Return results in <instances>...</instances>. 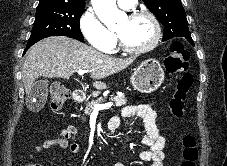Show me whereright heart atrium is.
<instances>
[{
    "instance_id": "obj_1",
    "label": "right heart atrium",
    "mask_w": 227,
    "mask_h": 166,
    "mask_svg": "<svg viewBox=\"0 0 227 166\" xmlns=\"http://www.w3.org/2000/svg\"><path fill=\"white\" fill-rule=\"evenodd\" d=\"M79 30L84 39L96 50L111 51L114 35L100 21L92 8H86L79 19Z\"/></svg>"
}]
</instances>
